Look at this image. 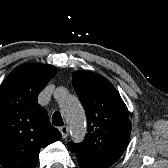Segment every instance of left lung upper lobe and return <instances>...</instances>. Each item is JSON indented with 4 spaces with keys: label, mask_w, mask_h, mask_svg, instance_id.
Wrapping results in <instances>:
<instances>
[{
    "label": "left lung upper lobe",
    "mask_w": 168,
    "mask_h": 168,
    "mask_svg": "<svg viewBox=\"0 0 168 168\" xmlns=\"http://www.w3.org/2000/svg\"><path fill=\"white\" fill-rule=\"evenodd\" d=\"M72 84L85 109L88 133L82 143L70 142L69 149L111 166L129 142L128 109L115 87L96 73L76 71Z\"/></svg>",
    "instance_id": "left-lung-upper-lobe-1"
}]
</instances>
